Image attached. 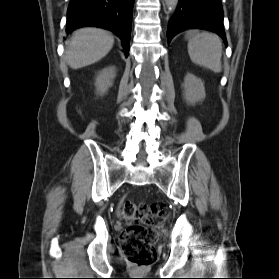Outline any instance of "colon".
Listing matches in <instances>:
<instances>
[{
    "label": "colon",
    "instance_id": "colon-1",
    "mask_svg": "<svg viewBox=\"0 0 279 279\" xmlns=\"http://www.w3.org/2000/svg\"><path fill=\"white\" fill-rule=\"evenodd\" d=\"M121 218L127 227L120 236L121 252L125 259L135 266H148L157 259V231L149 227L163 214V206L159 203L137 204L123 201L119 205Z\"/></svg>",
    "mask_w": 279,
    "mask_h": 279
}]
</instances>
